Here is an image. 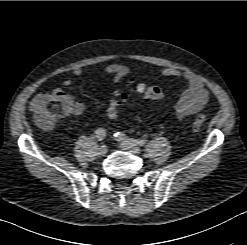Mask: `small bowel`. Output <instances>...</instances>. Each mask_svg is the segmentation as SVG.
I'll list each match as a JSON object with an SVG mask.
<instances>
[{"mask_svg": "<svg viewBox=\"0 0 247 245\" xmlns=\"http://www.w3.org/2000/svg\"><path fill=\"white\" fill-rule=\"evenodd\" d=\"M72 73L74 76H81L84 73V69L76 67L72 70ZM104 73L112 76L111 87H116L129 74V68L123 64L113 63L105 67ZM161 74L165 77L179 78L185 84L184 90L174 103V110L179 119L195 114L207 105L208 91L200 78L194 73L165 67L161 69ZM62 84L64 87H69L72 84V80L65 79ZM50 93L62 94L69 101L70 109L66 116L77 117L84 112L85 104L82 101L74 100L62 88L54 89ZM42 94L44 93H40L36 97Z\"/></svg>", "mask_w": 247, "mask_h": 245, "instance_id": "obj_1", "label": "small bowel"}]
</instances>
